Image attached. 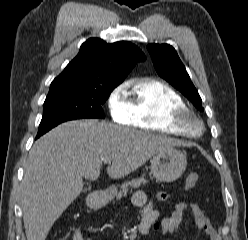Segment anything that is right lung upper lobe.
<instances>
[{"mask_svg":"<svg viewBox=\"0 0 248 240\" xmlns=\"http://www.w3.org/2000/svg\"><path fill=\"white\" fill-rule=\"evenodd\" d=\"M142 60H145V55L131 42L110 44L99 38H90L53 80L50 91L63 88H115Z\"/></svg>","mask_w":248,"mask_h":240,"instance_id":"cb5924a9","label":"right lung upper lobe"}]
</instances>
